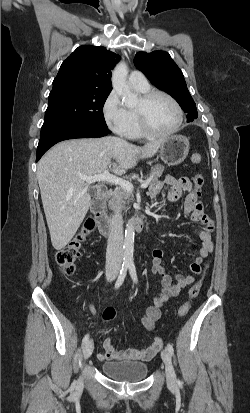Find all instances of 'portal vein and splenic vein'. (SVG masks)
Masks as SVG:
<instances>
[{"label":"portal vein and splenic vein","mask_w":250,"mask_h":413,"mask_svg":"<svg viewBox=\"0 0 250 413\" xmlns=\"http://www.w3.org/2000/svg\"><path fill=\"white\" fill-rule=\"evenodd\" d=\"M81 178L84 179L87 184L103 181V182H109V183L119 185L120 187H122L124 190H127V191H133V188H134L131 182L110 174L108 170H105L102 174H98V175L90 176V177L83 176ZM148 185H149V181L148 180L144 181L141 184V188L145 189L148 187Z\"/></svg>","instance_id":"1"}]
</instances>
